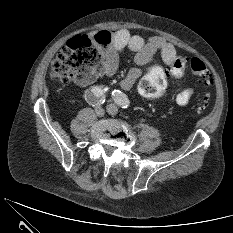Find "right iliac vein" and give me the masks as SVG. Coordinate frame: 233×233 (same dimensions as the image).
<instances>
[{"mask_svg":"<svg viewBox=\"0 0 233 233\" xmlns=\"http://www.w3.org/2000/svg\"><path fill=\"white\" fill-rule=\"evenodd\" d=\"M104 109L100 106H97L95 108V114L98 116V117H102L104 115Z\"/></svg>","mask_w":233,"mask_h":233,"instance_id":"63e3f726","label":"right iliac vein"}]
</instances>
